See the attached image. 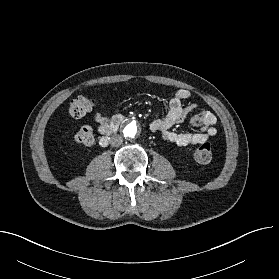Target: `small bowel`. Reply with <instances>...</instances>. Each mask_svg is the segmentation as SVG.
<instances>
[{
	"instance_id": "small-bowel-1",
	"label": "small bowel",
	"mask_w": 279,
	"mask_h": 279,
	"mask_svg": "<svg viewBox=\"0 0 279 279\" xmlns=\"http://www.w3.org/2000/svg\"><path fill=\"white\" fill-rule=\"evenodd\" d=\"M190 96L191 93L187 89L176 90L170 98L167 114L150 124L151 130L158 133L164 141L182 147L192 146L205 143L217 134V129L215 128L216 116L207 110H201L190 121L193 126L202 127L200 132L177 133L172 130V127L181 123L189 112L198 108L195 103L183 107L182 102ZM94 120L98 125L99 132L105 135L113 119L111 121L108 119L104 114V106H102L101 110L95 113Z\"/></svg>"
}]
</instances>
